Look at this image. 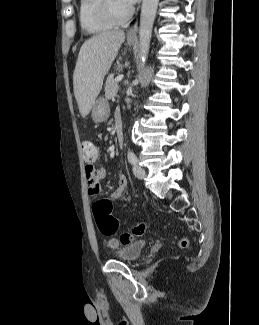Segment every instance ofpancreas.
<instances>
[{
	"mask_svg": "<svg viewBox=\"0 0 259 325\" xmlns=\"http://www.w3.org/2000/svg\"><path fill=\"white\" fill-rule=\"evenodd\" d=\"M119 86L114 79V75L111 74L107 77L105 83V97L107 99L114 98L118 92Z\"/></svg>",
	"mask_w": 259,
	"mask_h": 325,
	"instance_id": "cf45deb5",
	"label": "pancreas"
}]
</instances>
